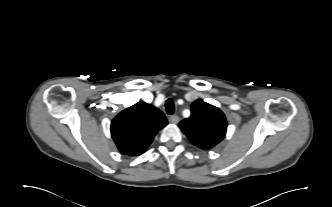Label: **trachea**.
<instances>
[{
  "instance_id": "obj_1",
  "label": "trachea",
  "mask_w": 332,
  "mask_h": 207,
  "mask_svg": "<svg viewBox=\"0 0 332 207\" xmlns=\"http://www.w3.org/2000/svg\"><path fill=\"white\" fill-rule=\"evenodd\" d=\"M165 108L168 114H173L174 112V102L172 99H168L165 103Z\"/></svg>"
}]
</instances>
